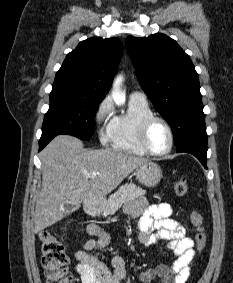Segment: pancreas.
I'll return each mask as SVG.
<instances>
[{"instance_id": "obj_1", "label": "pancreas", "mask_w": 233, "mask_h": 283, "mask_svg": "<svg viewBox=\"0 0 233 283\" xmlns=\"http://www.w3.org/2000/svg\"><path fill=\"white\" fill-rule=\"evenodd\" d=\"M145 194V190L133 183L124 184L120 186L117 192L109 196L105 213L107 215H113L124 203L144 196Z\"/></svg>"}]
</instances>
